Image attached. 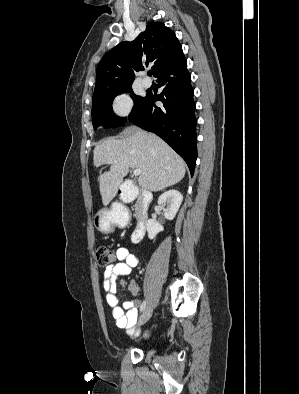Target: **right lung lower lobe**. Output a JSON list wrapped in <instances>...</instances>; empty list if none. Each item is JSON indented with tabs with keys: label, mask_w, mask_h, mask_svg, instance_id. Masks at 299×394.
I'll return each instance as SVG.
<instances>
[{
	"label": "right lung lower lobe",
	"mask_w": 299,
	"mask_h": 394,
	"mask_svg": "<svg viewBox=\"0 0 299 394\" xmlns=\"http://www.w3.org/2000/svg\"><path fill=\"white\" fill-rule=\"evenodd\" d=\"M156 77L159 87H163L162 93L158 96L147 94L128 119L166 141L185 160L192 176L197 159L196 119L194 91L185 56L163 69ZM156 101H161L163 105L156 106Z\"/></svg>",
	"instance_id": "1"
}]
</instances>
